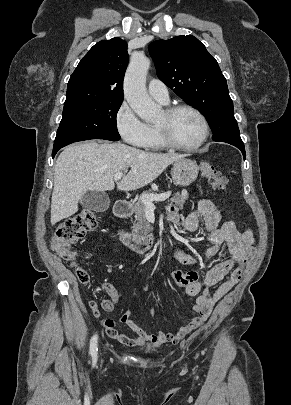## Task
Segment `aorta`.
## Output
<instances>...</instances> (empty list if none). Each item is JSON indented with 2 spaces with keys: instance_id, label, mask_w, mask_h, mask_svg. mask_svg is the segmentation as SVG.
Wrapping results in <instances>:
<instances>
[{
  "instance_id": "762f6f07",
  "label": "aorta",
  "mask_w": 291,
  "mask_h": 405,
  "mask_svg": "<svg viewBox=\"0 0 291 405\" xmlns=\"http://www.w3.org/2000/svg\"><path fill=\"white\" fill-rule=\"evenodd\" d=\"M150 60L142 54H134L124 79V96L133 111L144 121H155L160 107L152 101L146 90V76Z\"/></svg>"
}]
</instances>
